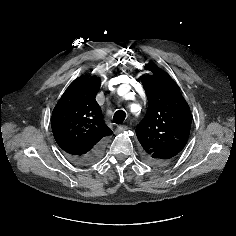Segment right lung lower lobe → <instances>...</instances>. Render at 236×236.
I'll use <instances>...</instances> for the list:
<instances>
[{
	"label": "right lung lower lobe",
	"instance_id": "98d812e1",
	"mask_svg": "<svg viewBox=\"0 0 236 236\" xmlns=\"http://www.w3.org/2000/svg\"><path fill=\"white\" fill-rule=\"evenodd\" d=\"M104 150L105 139L100 141L89 152L85 154L79 156L68 155V157L75 164L87 166L96 163L103 156Z\"/></svg>",
	"mask_w": 236,
	"mask_h": 236
}]
</instances>
